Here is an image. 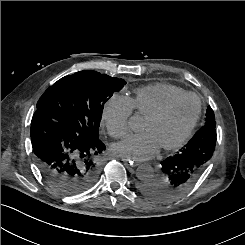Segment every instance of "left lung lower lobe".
<instances>
[{"label":"left lung lower lobe","mask_w":245,"mask_h":245,"mask_svg":"<svg viewBox=\"0 0 245 245\" xmlns=\"http://www.w3.org/2000/svg\"><path fill=\"white\" fill-rule=\"evenodd\" d=\"M215 127L204 126L177 154L163 160L159 175L141 186L155 201L165 202L189 189L206 168L215 150Z\"/></svg>","instance_id":"obj_1"}]
</instances>
